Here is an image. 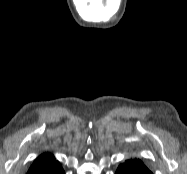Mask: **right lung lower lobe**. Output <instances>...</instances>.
Returning <instances> with one entry per match:
<instances>
[{"instance_id": "98d812e1", "label": "right lung lower lobe", "mask_w": 187, "mask_h": 174, "mask_svg": "<svg viewBox=\"0 0 187 174\" xmlns=\"http://www.w3.org/2000/svg\"><path fill=\"white\" fill-rule=\"evenodd\" d=\"M56 174H64V171L61 169V171L57 172Z\"/></svg>"}]
</instances>
